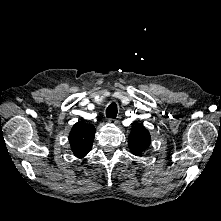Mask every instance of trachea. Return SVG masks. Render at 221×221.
I'll return each instance as SVG.
<instances>
[{
    "instance_id": "trachea-1",
    "label": "trachea",
    "mask_w": 221,
    "mask_h": 221,
    "mask_svg": "<svg viewBox=\"0 0 221 221\" xmlns=\"http://www.w3.org/2000/svg\"><path fill=\"white\" fill-rule=\"evenodd\" d=\"M117 112H118L117 104L115 102H113L106 109V117L107 118H116Z\"/></svg>"
}]
</instances>
